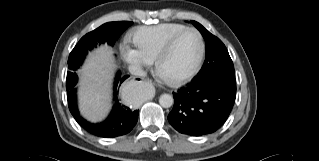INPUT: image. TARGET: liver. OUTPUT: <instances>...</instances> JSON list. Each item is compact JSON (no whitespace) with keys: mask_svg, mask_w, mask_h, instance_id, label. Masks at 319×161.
<instances>
[{"mask_svg":"<svg viewBox=\"0 0 319 161\" xmlns=\"http://www.w3.org/2000/svg\"><path fill=\"white\" fill-rule=\"evenodd\" d=\"M114 68L113 50L105 45L89 54L80 71L79 107L82 115L92 122L105 118L111 107Z\"/></svg>","mask_w":319,"mask_h":161,"instance_id":"1","label":"liver"}]
</instances>
